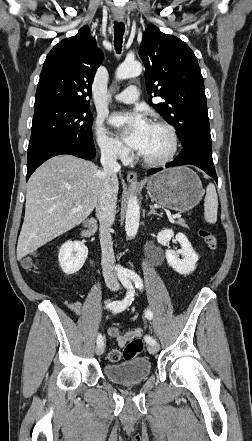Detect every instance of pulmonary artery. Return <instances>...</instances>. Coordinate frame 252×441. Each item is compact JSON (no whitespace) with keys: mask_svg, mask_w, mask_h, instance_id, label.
Segmentation results:
<instances>
[{"mask_svg":"<svg viewBox=\"0 0 252 441\" xmlns=\"http://www.w3.org/2000/svg\"><path fill=\"white\" fill-rule=\"evenodd\" d=\"M140 91L137 86L131 85L121 93L115 95V100L125 104H131L138 100Z\"/></svg>","mask_w":252,"mask_h":441,"instance_id":"pulmonary-artery-1","label":"pulmonary artery"}]
</instances>
